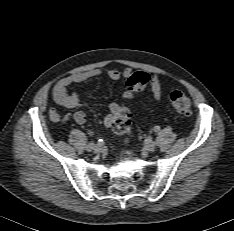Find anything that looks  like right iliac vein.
Returning <instances> with one entry per match:
<instances>
[{"mask_svg": "<svg viewBox=\"0 0 234 231\" xmlns=\"http://www.w3.org/2000/svg\"><path fill=\"white\" fill-rule=\"evenodd\" d=\"M87 151H94L95 153H99L103 150V147L101 145H94L93 147H86Z\"/></svg>", "mask_w": 234, "mask_h": 231, "instance_id": "63e3f726", "label": "right iliac vein"}]
</instances>
